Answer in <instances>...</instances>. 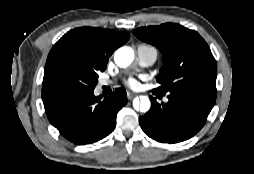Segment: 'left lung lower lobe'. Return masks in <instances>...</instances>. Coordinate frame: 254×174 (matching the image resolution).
I'll return each instance as SVG.
<instances>
[{
  "label": "left lung lower lobe",
  "mask_w": 254,
  "mask_h": 174,
  "mask_svg": "<svg viewBox=\"0 0 254 174\" xmlns=\"http://www.w3.org/2000/svg\"><path fill=\"white\" fill-rule=\"evenodd\" d=\"M168 99V103L159 104L152 98L151 109L139 123L149 137L169 144L194 136L204 126L216 100L185 90L168 93Z\"/></svg>",
  "instance_id": "obj_1"
}]
</instances>
